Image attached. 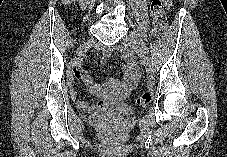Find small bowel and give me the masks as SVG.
<instances>
[{
    "mask_svg": "<svg viewBox=\"0 0 227 157\" xmlns=\"http://www.w3.org/2000/svg\"><path fill=\"white\" fill-rule=\"evenodd\" d=\"M163 4L166 8H169L171 6V0H163ZM107 56L108 51L105 52V60ZM125 58L127 64L125 66L123 81L110 79L106 83L98 84L83 67L78 66L73 70L72 78L82 79L92 94L98 98L96 104H90L89 102L78 99L77 90L74 84H71L70 94L81 108L95 110L102 108L108 101H122L130 94L138 83L140 72L137 62L132 55L127 54Z\"/></svg>",
    "mask_w": 227,
    "mask_h": 157,
    "instance_id": "c3829d8e",
    "label": "small bowel"
}]
</instances>
